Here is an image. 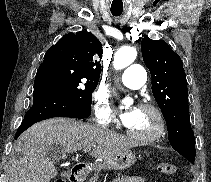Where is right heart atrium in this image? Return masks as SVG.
Returning a JSON list of instances; mask_svg holds the SVG:
<instances>
[{
	"mask_svg": "<svg viewBox=\"0 0 211 182\" xmlns=\"http://www.w3.org/2000/svg\"><path fill=\"white\" fill-rule=\"evenodd\" d=\"M92 113L98 124L107 125L115 122V115L108 97L101 91H96L92 98Z\"/></svg>",
	"mask_w": 211,
	"mask_h": 182,
	"instance_id": "obj_1",
	"label": "right heart atrium"
}]
</instances>
